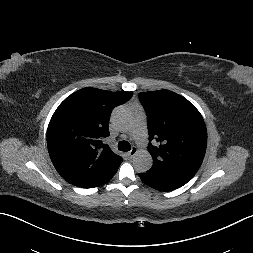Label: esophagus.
<instances>
[{"label": "esophagus", "instance_id": "34e87169", "mask_svg": "<svg viewBox=\"0 0 253 253\" xmlns=\"http://www.w3.org/2000/svg\"><path fill=\"white\" fill-rule=\"evenodd\" d=\"M138 149L136 147H132V149L128 152L129 157H133L136 155Z\"/></svg>", "mask_w": 253, "mask_h": 253}]
</instances>
